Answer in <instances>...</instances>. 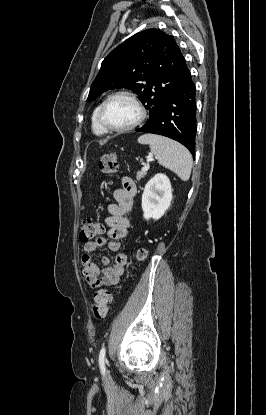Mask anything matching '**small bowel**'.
Segmentation results:
<instances>
[{
	"label": "small bowel",
	"mask_w": 266,
	"mask_h": 415,
	"mask_svg": "<svg viewBox=\"0 0 266 415\" xmlns=\"http://www.w3.org/2000/svg\"><path fill=\"white\" fill-rule=\"evenodd\" d=\"M122 187L114 192L116 203L108 206L109 216L106 223L109 227L108 237L110 240L100 237L84 243L82 256V273L86 282L92 288L116 285L125 272L127 256L124 253H118L113 265L107 256L101 258L103 267H99L91 258L90 254L98 248L107 246L111 251L117 252L121 247L120 240L128 235L131 222L125 216L133 210L137 196V187L135 182L129 178L122 179Z\"/></svg>",
	"instance_id": "c3829d8e"
}]
</instances>
